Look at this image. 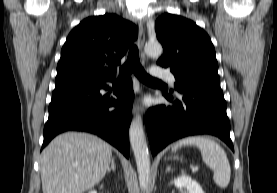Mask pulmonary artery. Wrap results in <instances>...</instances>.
I'll list each match as a JSON object with an SVG mask.
<instances>
[{
  "label": "pulmonary artery",
  "mask_w": 277,
  "mask_h": 193,
  "mask_svg": "<svg viewBox=\"0 0 277 193\" xmlns=\"http://www.w3.org/2000/svg\"><path fill=\"white\" fill-rule=\"evenodd\" d=\"M151 73L153 76L157 78L166 79L169 83L175 84L176 78L172 72L169 70L161 69V68H152Z\"/></svg>",
  "instance_id": "e3ab8cb5"
}]
</instances>
